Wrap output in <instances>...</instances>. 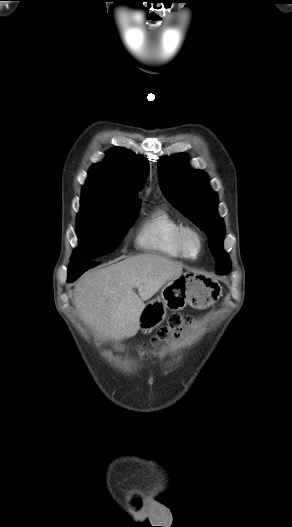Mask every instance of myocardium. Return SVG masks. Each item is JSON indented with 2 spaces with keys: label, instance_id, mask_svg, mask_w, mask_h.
Listing matches in <instances>:
<instances>
[{
  "label": "myocardium",
  "instance_id": "myocardium-1",
  "mask_svg": "<svg viewBox=\"0 0 292 527\" xmlns=\"http://www.w3.org/2000/svg\"><path fill=\"white\" fill-rule=\"evenodd\" d=\"M190 236L195 237L198 242V249L195 254L189 253L187 249V240ZM177 245L183 258L194 261L201 256L204 250V236L202 232L196 227L190 225H183L177 233Z\"/></svg>",
  "mask_w": 292,
  "mask_h": 527
}]
</instances>
